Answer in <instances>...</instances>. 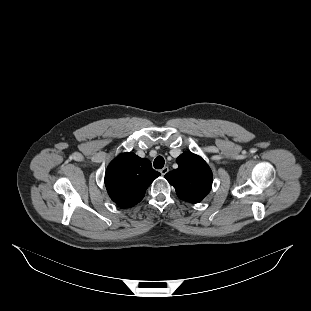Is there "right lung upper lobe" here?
<instances>
[{"label": "right lung upper lobe", "instance_id": "right-lung-upper-lobe-1", "mask_svg": "<svg viewBox=\"0 0 311 311\" xmlns=\"http://www.w3.org/2000/svg\"><path fill=\"white\" fill-rule=\"evenodd\" d=\"M159 175L148 159L131 152L122 153L109 164L105 185L118 206L129 208L142 200L146 189Z\"/></svg>", "mask_w": 311, "mask_h": 311}]
</instances>
